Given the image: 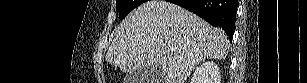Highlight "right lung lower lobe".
I'll return each mask as SVG.
<instances>
[{"instance_id": "obj_1", "label": "right lung lower lobe", "mask_w": 307, "mask_h": 83, "mask_svg": "<svg viewBox=\"0 0 307 83\" xmlns=\"http://www.w3.org/2000/svg\"><path fill=\"white\" fill-rule=\"evenodd\" d=\"M196 15L212 26H220L232 40L238 1L236 0H171Z\"/></svg>"}]
</instances>
